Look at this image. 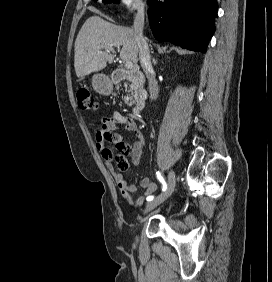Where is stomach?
Masks as SVG:
<instances>
[{
  "label": "stomach",
  "mask_w": 272,
  "mask_h": 282,
  "mask_svg": "<svg viewBox=\"0 0 272 282\" xmlns=\"http://www.w3.org/2000/svg\"><path fill=\"white\" fill-rule=\"evenodd\" d=\"M92 84L96 91L103 94L111 92V82L109 78L104 74H96L92 78Z\"/></svg>",
  "instance_id": "obj_1"
}]
</instances>
